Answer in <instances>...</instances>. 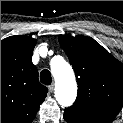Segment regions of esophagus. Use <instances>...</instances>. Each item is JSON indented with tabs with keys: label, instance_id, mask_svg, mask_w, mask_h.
I'll use <instances>...</instances> for the list:
<instances>
[{
	"label": "esophagus",
	"instance_id": "obj_1",
	"mask_svg": "<svg viewBox=\"0 0 123 123\" xmlns=\"http://www.w3.org/2000/svg\"><path fill=\"white\" fill-rule=\"evenodd\" d=\"M54 83H52L51 85L48 86V89L50 92H53L54 91Z\"/></svg>",
	"mask_w": 123,
	"mask_h": 123
}]
</instances>
